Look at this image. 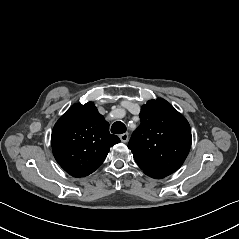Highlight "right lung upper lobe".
I'll return each mask as SVG.
<instances>
[{"label":"right lung upper lobe","mask_w":239,"mask_h":239,"mask_svg":"<svg viewBox=\"0 0 239 239\" xmlns=\"http://www.w3.org/2000/svg\"><path fill=\"white\" fill-rule=\"evenodd\" d=\"M120 142L109 133V123L92 102L71 106L52 130L51 146L58 164L73 177H85Z\"/></svg>","instance_id":"cb5924a9"}]
</instances>
